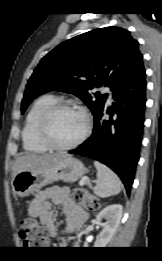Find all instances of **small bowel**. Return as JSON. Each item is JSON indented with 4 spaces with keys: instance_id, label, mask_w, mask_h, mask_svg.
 Masks as SVG:
<instances>
[{
    "instance_id": "obj_1",
    "label": "small bowel",
    "mask_w": 162,
    "mask_h": 261,
    "mask_svg": "<svg viewBox=\"0 0 162 261\" xmlns=\"http://www.w3.org/2000/svg\"><path fill=\"white\" fill-rule=\"evenodd\" d=\"M54 207L63 208L69 222V230L76 231L80 228L81 222L76 219V215L81 214V210L71 200L69 189L66 187H52L39 191L30 203L29 214L39 219L50 234H55Z\"/></svg>"
}]
</instances>
